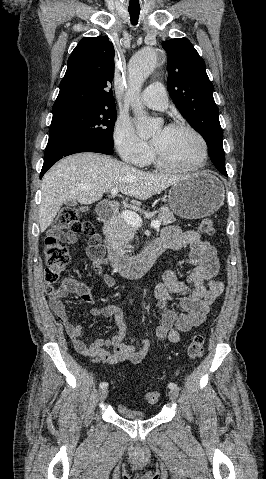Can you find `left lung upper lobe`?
<instances>
[{
    "mask_svg": "<svg viewBox=\"0 0 266 479\" xmlns=\"http://www.w3.org/2000/svg\"><path fill=\"white\" fill-rule=\"evenodd\" d=\"M162 47L168 55L167 89L170 97L187 122L206 141L215 167L226 171L219 109L204 60L187 38L163 41Z\"/></svg>",
    "mask_w": 266,
    "mask_h": 479,
    "instance_id": "5c2ea615",
    "label": "left lung upper lobe"
}]
</instances>
